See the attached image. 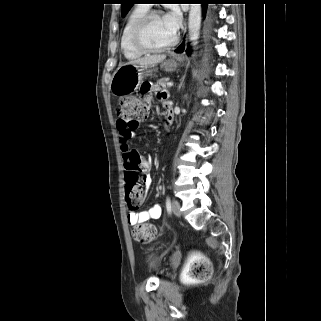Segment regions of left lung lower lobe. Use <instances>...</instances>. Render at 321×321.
<instances>
[{
  "instance_id": "1",
  "label": "left lung lower lobe",
  "mask_w": 321,
  "mask_h": 321,
  "mask_svg": "<svg viewBox=\"0 0 321 321\" xmlns=\"http://www.w3.org/2000/svg\"><path fill=\"white\" fill-rule=\"evenodd\" d=\"M202 4V11H203V16L204 18L206 17V28L207 32L210 31V27L212 25V22L214 20L212 10L208 8V4H211V0H197ZM185 49V44L184 42L175 50V52H183ZM186 52L188 54L191 53V49H189V46L187 47Z\"/></svg>"
}]
</instances>
